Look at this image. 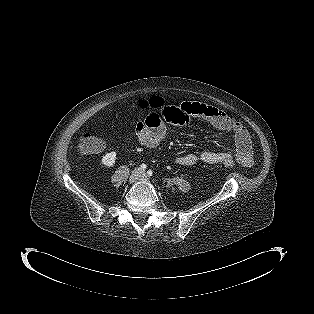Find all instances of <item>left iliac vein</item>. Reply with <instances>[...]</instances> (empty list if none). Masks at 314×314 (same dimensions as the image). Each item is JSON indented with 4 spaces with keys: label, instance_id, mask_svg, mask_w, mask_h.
Here are the masks:
<instances>
[{
    "label": "left iliac vein",
    "instance_id": "obj_1",
    "mask_svg": "<svg viewBox=\"0 0 314 314\" xmlns=\"http://www.w3.org/2000/svg\"><path fill=\"white\" fill-rule=\"evenodd\" d=\"M140 180L148 181V178L145 172H141Z\"/></svg>",
    "mask_w": 314,
    "mask_h": 314
}]
</instances>
